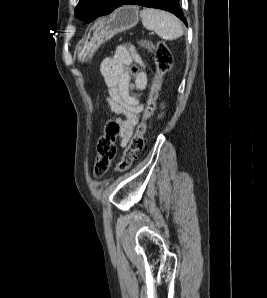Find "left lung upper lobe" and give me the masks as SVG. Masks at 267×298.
Instances as JSON below:
<instances>
[{"instance_id":"5c2ea615","label":"left lung upper lobe","mask_w":267,"mask_h":298,"mask_svg":"<svg viewBox=\"0 0 267 298\" xmlns=\"http://www.w3.org/2000/svg\"><path fill=\"white\" fill-rule=\"evenodd\" d=\"M116 0H80L75 15L77 18L89 22L99 15L109 11Z\"/></svg>"}]
</instances>
